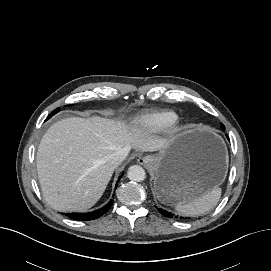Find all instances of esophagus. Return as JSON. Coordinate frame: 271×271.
Returning a JSON list of instances; mask_svg holds the SVG:
<instances>
[{"label": "esophagus", "mask_w": 271, "mask_h": 271, "mask_svg": "<svg viewBox=\"0 0 271 271\" xmlns=\"http://www.w3.org/2000/svg\"><path fill=\"white\" fill-rule=\"evenodd\" d=\"M138 163L143 166H149L152 163V158L150 156H143L138 159Z\"/></svg>", "instance_id": "34e87169"}]
</instances>
